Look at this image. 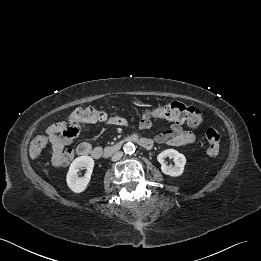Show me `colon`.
<instances>
[{
  "label": "colon",
  "mask_w": 261,
  "mask_h": 261,
  "mask_svg": "<svg viewBox=\"0 0 261 261\" xmlns=\"http://www.w3.org/2000/svg\"><path fill=\"white\" fill-rule=\"evenodd\" d=\"M107 118V112L94 107L76 109L69 116L72 124L58 136V142L60 144L71 142L80 132L83 123L103 122ZM156 118L186 122L191 126H198L202 122V112L197 107L177 101L164 105L154 104L143 111L141 122L147 123L151 119ZM205 135L207 140V154L210 157H216L220 152L221 134L216 128L210 127L206 130ZM51 137L46 132L34 137L30 145L31 155H39L50 145Z\"/></svg>",
  "instance_id": "5ec220e1"
}]
</instances>
